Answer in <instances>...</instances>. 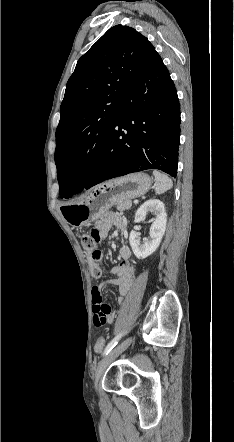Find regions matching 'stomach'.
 <instances>
[{"label": "stomach", "instance_id": "obj_1", "mask_svg": "<svg viewBox=\"0 0 234 442\" xmlns=\"http://www.w3.org/2000/svg\"><path fill=\"white\" fill-rule=\"evenodd\" d=\"M151 185L147 174L132 173L96 186L82 201L62 206L61 213L73 226L86 224L97 220L114 204L144 195Z\"/></svg>", "mask_w": 234, "mask_h": 442}]
</instances>
